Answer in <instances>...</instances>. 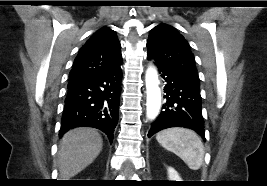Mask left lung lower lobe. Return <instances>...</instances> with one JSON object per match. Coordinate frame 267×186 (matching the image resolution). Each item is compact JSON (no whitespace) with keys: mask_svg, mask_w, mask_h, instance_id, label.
<instances>
[{"mask_svg":"<svg viewBox=\"0 0 267 186\" xmlns=\"http://www.w3.org/2000/svg\"><path fill=\"white\" fill-rule=\"evenodd\" d=\"M157 67L166 83L164 87L166 103L152 123L148 137L166 128L185 127L196 131L205 139L200 85L168 68L158 65Z\"/></svg>","mask_w":267,"mask_h":186,"instance_id":"1","label":"left lung lower lobe"}]
</instances>
